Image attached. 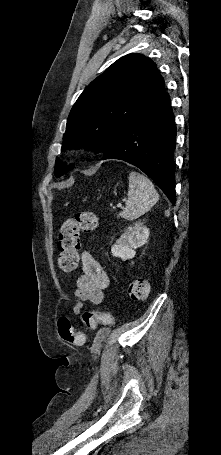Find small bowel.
Returning a JSON list of instances; mask_svg holds the SVG:
<instances>
[{"mask_svg": "<svg viewBox=\"0 0 221 455\" xmlns=\"http://www.w3.org/2000/svg\"><path fill=\"white\" fill-rule=\"evenodd\" d=\"M81 266L82 275L76 282L75 295L79 302L73 308L75 314H80L84 302L99 305L109 286L108 275L92 254L86 250L81 253Z\"/></svg>", "mask_w": 221, "mask_h": 455, "instance_id": "c3829d8e", "label": "small bowel"}]
</instances>
